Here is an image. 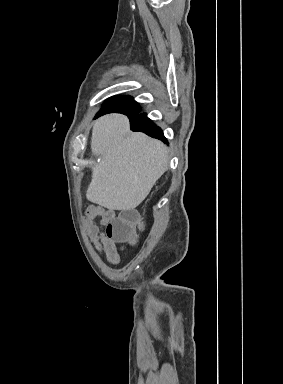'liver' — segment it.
I'll return each instance as SVG.
<instances>
[{
	"label": "liver",
	"instance_id": "obj_1",
	"mask_svg": "<svg viewBox=\"0 0 283 384\" xmlns=\"http://www.w3.org/2000/svg\"><path fill=\"white\" fill-rule=\"evenodd\" d=\"M91 150L93 156H101V162L92 168L86 198L107 210H134L168 170L166 146L130 132V122L122 114L95 120Z\"/></svg>",
	"mask_w": 283,
	"mask_h": 384
}]
</instances>
